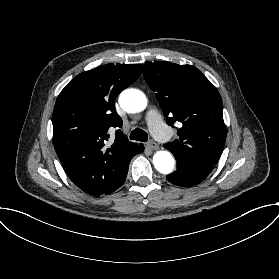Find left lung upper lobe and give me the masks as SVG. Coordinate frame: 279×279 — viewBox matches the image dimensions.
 Masks as SVG:
<instances>
[{
    "label": "left lung upper lobe",
    "instance_id": "1",
    "mask_svg": "<svg viewBox=\"0 0 279 279\" xmlns=\"http://www.w3.org/2000/svg\"><path fill=\"white\" fill-rule=\"evenodd\" d=\"M143 75L156 92L167 123H182L179 139L164 147L180 157L214 165L226 140L222 99L214 85L192 65L147 63Z\"/></svg>",
    "mask_w": 279,
    "mask_h": 279
}]
</instances>
